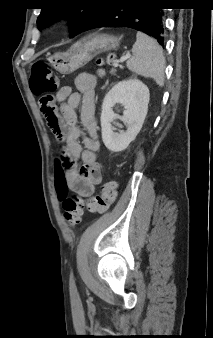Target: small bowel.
Returning <instances> with one entry per match:
<instances>
[{"instance_id":"1","label":"small bowel","mask_w":213,"mask_h":338,"mask_svg":"<svg viewBox=\"0 0 213 338\" xmlns=\"http://www.w3.org/2000/svg\"><path fill=\"white\" fill-rule=\"evenodd\" d=\"M96 84L95 75L81 73L75 79L77 92H73L70 86H63L56 94V101L59 104L57 116L60 128L64 132L63 140L67 151L65 161L73 164L66 173L68 186L82 198L92 196L95 184L101 181V170L97 161L99 141L94 106ZM78 121L82 127L78 126ZM80 138L83 139V145L79 141ZM79 160L82 161L80 168L77 166ZM65 161L60 163L61 170Z\"/></svg>"}]
</instances>
